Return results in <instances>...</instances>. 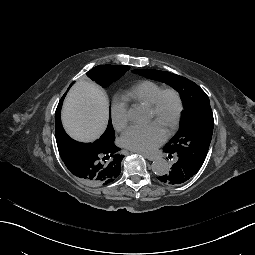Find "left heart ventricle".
I'll use <instances>...</instances> for the list:
<instances>
[{
	"label": "left heart ventricle",
	"instance_id": "obj_1",
	"mask_svg": "<svg viewBox=\"0 0 255 255\" xmlns=\"http://www.w3.org/2000/svg\"><path fill=\"white\" fill-rule=\"evenodd\" d=\"M174 112H175V99L172 94H166L161 101L159 119L156 123H154V125L165 135H167V133L170 131L172 127ZM152 117L153 114L151 112V119Z\"/></svg>",
	"mask_w": 255,
	"mask_h": 255
}]
</instances>
